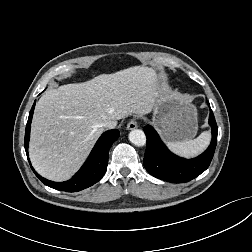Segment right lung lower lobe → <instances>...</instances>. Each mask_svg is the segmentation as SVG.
Instances as JSON below:
<instances>
[{"mask_svg": "<svg viewBox=\"0 0 252 252\" xmlns=\"http://www.w3.org/2000/svg\"><path fill=\"white\" fill-rule=\"evenodd\" d=\"M35 108V102L29 113L28 122L25 130V150L28 157V144L30 138V125ZM119 130L113 129L106 131L101 135L91 151L88 159L81 167V169L68 181L65 182H53L49 181L36 173L32 168L35 175L47 186L66 192H78L87 187L92 186L98 182L107 170L108 153L111 145L118 139ZM29 161V158H28ZM31 165V164H30Z\"/></svg>", "mask_w": 252, "mask_h": 252, "instance_id": "98d812e1", "label": "right lung lower lobe"}]
</instances>
